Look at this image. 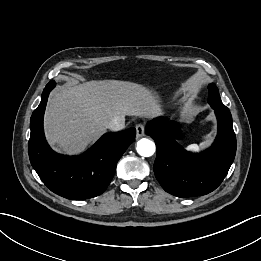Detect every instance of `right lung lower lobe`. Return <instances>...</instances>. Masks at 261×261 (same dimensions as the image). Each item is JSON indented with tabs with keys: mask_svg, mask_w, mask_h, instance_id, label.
<instances>
[{
	"mask_svg": "<svg viewBox=\"0 0 261 261\" xmlns=\"http://www.w3.org/2000/svg\"><path fill=\"white\" fill-rule=\"evenodd\" d=\"M54 86V81L46 85L41 102L30 119V162L52 192L71 200L93 198L102 194L111 182L118 160L135 140L136 129L105 134L79 156L55 153L47 144L43 131L45 107Z\"/></svg>",
	"mask_w": 261,
	"mask_h": 261,
	"instance_id": "obj_1",
	"label": "right lung lower lobe"
}]
</instances>
